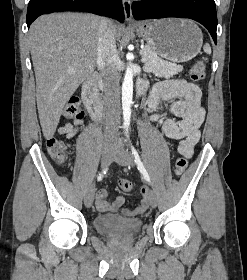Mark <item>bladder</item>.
<instances>
[{"mask_svg":"<svg viewBox=\"0 0 247 280\" xmlns=\"http://www.w3.org/2000/svg\"><path fill=\"white\" fill-rule=\"evenodd\" d=\"M94 226L103 234L131 236L141 231L143 221L139 218H124L118 215H99L94 219Z\"/></svg>","mask_w":247,"mask_h":280,"instance_id":"bladder-1","label":"bladder"}]
</instances>
